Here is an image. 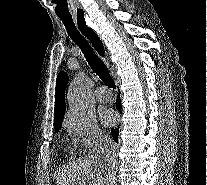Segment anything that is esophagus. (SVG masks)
Here are the masks:
<instances>
[{"mask_svg": "<svg viewBox=\"0 0 207 185\" xmlns=\"http://www.w3.org/2000/svg\"><path fill=\"white\" fill-rule=\"evenodd\" d=\"M75 14H86V9H75ZM74 19L77 20V27L79 30H92V25H82L89 24L90 20L87 19L86 15H75ZM81 32V31H80ZM85 38H89V43L93 45L94 48H103V43H101L102 33H85ZM101 54H104V51H101ZM103 60H106V57H103Z\"/></svg>", "mask_w": 207, "mask_h": 185, "instance_id": "obj_1", "label": "esophagus"}]
</instances>
